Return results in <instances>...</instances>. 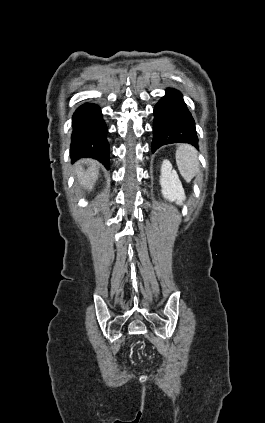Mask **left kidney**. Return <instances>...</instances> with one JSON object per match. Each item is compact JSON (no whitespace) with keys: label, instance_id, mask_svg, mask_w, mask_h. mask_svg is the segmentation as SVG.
Wrapping results in <instances>:
<instances>
[{"label":"left kidney","instance_id":"obj_1","mask_svg":"<svg viewBox=\"0 0 265 423\" xmlns=\"http://www.w3.org/2000/svg\"><path fill=\"white\" fill-rule=\"evenodd\" d=\"M161 192L165 199L170 202L181 204L185 200V193L181 181L172 164L168 160H164L161 166L160 176Z\"/></svg>","mask_w":265,"mask_h":423}]
</instances>
